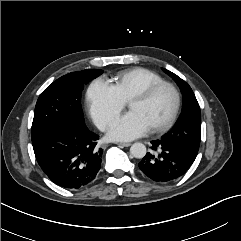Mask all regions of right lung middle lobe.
<instances>
[{"label":"right lung middle lobe","mask_w":241,"mask_h":241,"mask_svg":"<svg viewBox=\"0 0 241 241\" xmlns=\"http://www.w3.org/2000/svg\"><path fill=\"white\" fill-rule=\"evenodd\" d=\"M99 69L72 72L54 81L39 96L31 129L32 141L64 123L82 125L80 104L84 85L102 74Z\"/></svg>","instance_id":"1"}]
</instances>
